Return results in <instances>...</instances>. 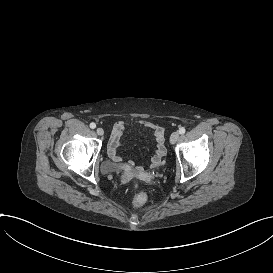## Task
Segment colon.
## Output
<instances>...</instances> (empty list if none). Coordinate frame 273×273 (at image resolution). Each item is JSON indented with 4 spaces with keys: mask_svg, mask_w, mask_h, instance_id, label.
<instances>
[{
    "mask_svg": "<svg viewBox=\"0 0 273 273\" xmlns=\"http://www.w3.org/2000/svg\"><path fill=\"white\" fill-rule=\"evenodd\" d=\"M128 196L130 199L134 200L131 204V209L134 212L139 211V209L148 202L149 194L147 191L142 189L133 188L129 191Z\"/></svg>",
    "mask_w": 273,
    "mask_h": 273,
    "instance_id": "colon-1",
    "label": "colon"
}]
</instances>
